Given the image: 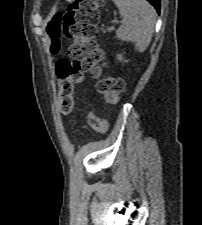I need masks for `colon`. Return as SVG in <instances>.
Masks as SVG:
<instances>
[{"instance_id":"1","label":"colon","mask_w":202,"mask_h":225,"mask_svg":"<svg viewBox=\"0 0 202 225\" xmlns=\"http://www.w3.org/2000/svg\"><path fill=\"white\" fill-rule=\"evenodd\" d=\"M103 0H75L64 14L58 13L47 25V33L52 41V52L59 51V38L72 40L69 58L57 64L56 75L59 82V110L69 114L74 107V84L81 83L83 73L98 75L107 66L104 50L95 41L98 11ZM98 89L109 104H117L124 91L123 81L115 76H107L99 81ZM86 120L91 129L105 133L108 122L90 111Z\"/></svg>"}]
</instances>
